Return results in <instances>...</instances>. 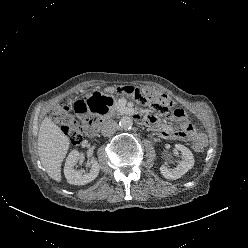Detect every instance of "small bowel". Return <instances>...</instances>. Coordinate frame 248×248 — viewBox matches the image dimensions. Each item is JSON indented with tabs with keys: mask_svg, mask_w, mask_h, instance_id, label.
Listing matches in <instances>:
<instances>
[{
	"mask_svg": "<svg viewBox=\"0 0 248 248\" xmlns=\"http://www.w3.org/2000/svg\"><path fill=\"white\" fill-rule=\"evenodd\" d=\"M146 120L162 137L167 139L190 141L192 139L202 138L206 140L204 133L197 131L189 122L183 119H181L183 121L178 129L159 123L154 116H148Z\"/></svg>",
	"mask_w": 248,
	"mask_h": 248,
	"instance_id": "1",
	"label": "small bowel"
}]
</instances>
